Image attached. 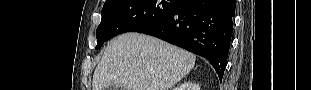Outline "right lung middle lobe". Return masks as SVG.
I'll return each mask as SVG.
<instances>
[{
    "label": "right lung middle lobe",
    "instance_id": "dd1d6c3e",
    "mask_svg": "<svg viewBox=\"0 0 311 90\" xmlns=\"http://www.w3.org/2000/svg\"><path fill=\"white\" fill-rule=\"evenodd\" d=\"M180 0H109L102 8L96 31L97 46L125 32L138 30L158 21L171 12Z\"/></svg>",
    "mask_w": 311,
    "mask_h": 90
}]
</instances>
